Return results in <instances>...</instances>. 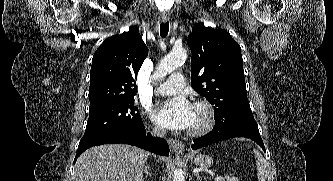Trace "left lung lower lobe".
Returning a JSON list of instances; mask_svg holds the SVG:
<instances>
[{"mask_svg": "<svg viewBox=\"0 0 333 181\" xmlns=\"http://www.w3.org/2000/svg\"><path fill=\"white\" fill-rule=\"evenodd\" d=\"M215 120L216 123L211 132L193 141L192 144L193 149H198L206 145H209L211 143L230 139L233 137H246L250 138L251 140H254L265 151V147L260 135L244 131H237L236 124L232 119L228 118V116H222V117L215 116Z\"/></svg>", "mask_w": 333, "mask_h": 181, "instance_id": "left-lung-lower-lobe-1", "label": "left lung lower lobe"}]
</instances>
